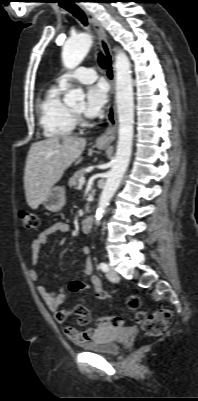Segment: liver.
Instances as JSON below:
<instances>
[{
    "label": "liver",
    "instance_id": "obj_1",
    "mask_svg": "<svg viewBox=\"0 0 198 401\" xmlns=\"http://www.w3.org/2000/svg\"><path fill=\"white\" fill-rule=\"evenodd\" d=\"M86 139L53 136L31 145L24 171V189L28 205L36 209L61 179L65 170L82 161Z\"/></svg>",
    "mask_w": 198,
    "mask_h": 401
}]
</instances>
